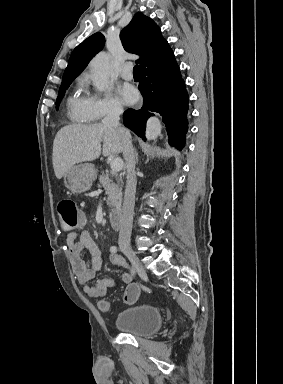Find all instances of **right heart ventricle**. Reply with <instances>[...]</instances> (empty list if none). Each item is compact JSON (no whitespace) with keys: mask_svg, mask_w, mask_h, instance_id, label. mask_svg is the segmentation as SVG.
Returning <instances> with one entry per match:
<instances>
[{"mask_svg":"<svg viewBox=\"0 0 283 384\" xmlns=\"http://www.w3.org/2000/svg\"><path fill=\"white\" fill-rule=\"evenodd\" d=\"M84 85L78 82L70 91L66 100V112L69 119L77 124L90 122L88 96L83 94Z\"/></svg>","mask_w":283,"mask_h":384,"instance_id":"e07e8e85","label":"right heart ventricle"}]
</instances>
